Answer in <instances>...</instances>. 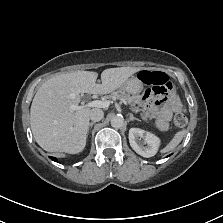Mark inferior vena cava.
Instances as JSON below:
<instances>
[{"instance_id": "1", "label": "inferior vena cava", "mask_w": 223, "mask_h": 223, "mask_svg": "<svg viewBox=\"0 0 223 223\" xmlns=\"http://www.w3.org/2000/svg\"><path fill=\"white\" fill-rule=\"evenodd\" d=\"M104 112L100 108H93L89 113V118L92 121H99L103 118Z\"/></svg>"}]
</instances>
